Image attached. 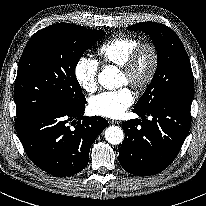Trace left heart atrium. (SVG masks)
Wrapping results in <instances>:
<instances>
[{
  "label": "left heart atrium",
  "instance_id": "39dd6f15",
  "mask_svg": "<svg viewBox=\"0 0 206 206\" xmlns=\"http://www.w3.org/2000/svg\"><path fill=\"white\" fill-rule=\"evenodd\" d=\"M134 100V94L128 88L104 92L90 99L89 110L97 116L118 119L134 103Z\"/></svg>",
  "mask_w": 206,
  "mask_h": 206
}]
</instances>
